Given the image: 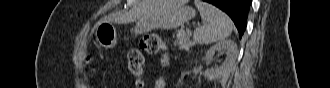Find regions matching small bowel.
Wrapping results in <instances>:
<instances>
[{
  "mask_svg": "<svg viewBox=\"0 0 330 88\" xmlns=\"http://www.w3.org/2000/svg\"><path fill=\"white\" fill-rule=\"evenodd\" d=\"M156 88H163L164 87V81L162 79H158L155 83Z\"/></svg>",
  "mask_w": 330,
  "mask_h": 88,
  "instance_id": "small-bowel-1",
  "label": "small bowel"
}]
</instances>
